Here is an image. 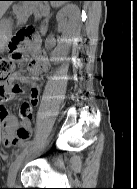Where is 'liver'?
I'll return each instance as SVG.
<instances>
[{
    "mask_svg": "<svg viewBox=\"0 0 137 189\" xmlns=\"http://www.w3.org/2000/svg\"><path fill=\"white\" fill-rule=\"evenodd\" d=\"M11 5L10 1H0V19L8 9V7Z\"/></svg>",
    "mask_w": 137,
    "mask_h": 189,
    "instance_id": "1",
    "label": "liver"
}]
</instances>
